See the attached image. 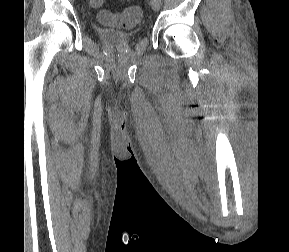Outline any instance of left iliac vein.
<instances>
[{"label":"left iliac vein","instance_id":"4c4485c4","mask_svg":"<svg viewBox=\"0 0 289 252\" xmlns=\"http://www.w3.org/2000/svg\"><path fill=\"white\" fill-rule=\"evenodd\" d=\"M150 5L154 11H158L161 7V0H150Z\"/></svg>","mask_w":289,"mask_h":252}]
</instances>
